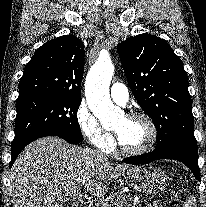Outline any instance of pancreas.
<instances>
[{
	"label": "pancreas",
	"instance_id": "1",
	"mask_svg": "<svg viewBox=\"0 0 206 207\" xmlns=\"http://www.w3.org/2000/svg\"><path fill=\"white\" fill-rule=\"evenodd\" d=\"M122 192L118 191L116 193H112L110 196L106 197L103 200H100L97 202L93 207H112L111 204H109L110 201L116 198L114 203L117 205V207L122 206L125 202H123ZM125 207H138L134 202L126 203Z\"/></svg>",
	"mask_w": 206,
	"mask_h": 207
}]
</instances>
